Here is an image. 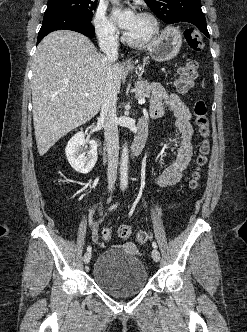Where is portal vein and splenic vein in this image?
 <instances>
[{
    "label": "portal vein and splenic vein",
    "instance_id": "18ae733b",
    "mask_svg": "<svg viewBox=\"0 0 247 332\" xmlns=\"http://www.w3.org/2000/svg\"><path fill=\"white\" fill-rule=\"evenodd\" d=\"M88 95H89L88 93H85V96H88ZM145 102H146L145 98H141V99L138 100V103L140 105H143Z\"/></svg>",
    "mask_w": 247,
    "mask_h": 332
}]
</instances>
